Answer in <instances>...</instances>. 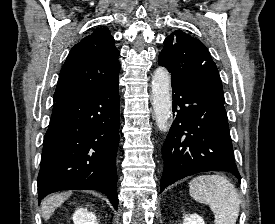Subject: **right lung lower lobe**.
<instances>
[{"instance_id": "1", "label": "right lung lower lobe", "mask_w": 275, "mask_h": 224, "mask_svg": "<svg viewBox=\"0 0 275 224\" xmlns=\"http://www.w3.org/2000/svg\"><path fill=\"white\" fill-rule=\"evenodd\" d=\"M118 83L53 105L44 136L38 201L60 190H98L118 208Z\"/></svg>"}]
</instances>
